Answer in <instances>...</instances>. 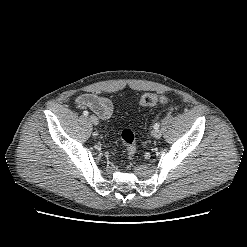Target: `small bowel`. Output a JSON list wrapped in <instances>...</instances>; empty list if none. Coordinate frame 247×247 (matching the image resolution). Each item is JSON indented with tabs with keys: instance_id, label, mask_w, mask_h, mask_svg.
Wrapping results in <instances>:
<instances>
[{
	"instance_id": "1",
	"label": "small bowel",
	"mask_w": 247,
	"mask_h": 247,
	"mask_svg": "<svg viewBox=\"0 0 247 247\" xmlns=\"http://www.w3.org/2000/svg\"><path fill=\"white\" fill-rule=\"evenodd\" d=\"M77 105L80 108H89L101 119L109 118L113 111V103L111 100L91 93L79 96Z\"/></svg>"
}]
</instances>
